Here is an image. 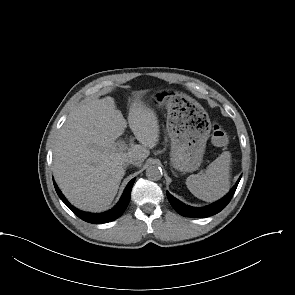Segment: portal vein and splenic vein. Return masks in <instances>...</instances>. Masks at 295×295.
I'll return each instance as SVG.
<instances>
[{"instance_id": "18ae733b", "label": "portal vein and splenic vein", "mask_w": 295, "mask_h": 295, "mask_svg": "<svg viewBox=\"0 0 295 295\" xmlns=\"http://www.w3.org/2000/svg\"><path fill=\"white\" fill-rule=\"evenodd\" d=\"M117 149L124 151V150L127 149V146H126V144L124 142H121V143L118 144V148Z\"/></svg>"}]
</instances>
